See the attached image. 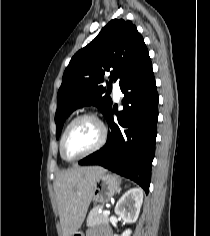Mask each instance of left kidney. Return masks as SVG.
Listing matches in <instances>:
<instances>
[{
	"instance_id": "5707ae66",
	"label": "left kidney",
	"mask_w": 210,
	"mask_h": 236,
	"mask_svg": "<svg viewBox=\"0 0 210 236\" xmlns=\"http://www.w3.org/2000/svg\"><path fill=\"white\" fill-rule=\"evenodd\" d=\"M143 202V191L134 187L122 195L115 206V213L126 223H133L137 220ZM132 231L125 230L121 236H130ZM117 236V235H114Z\"/></svg>"
}]
</instances>
